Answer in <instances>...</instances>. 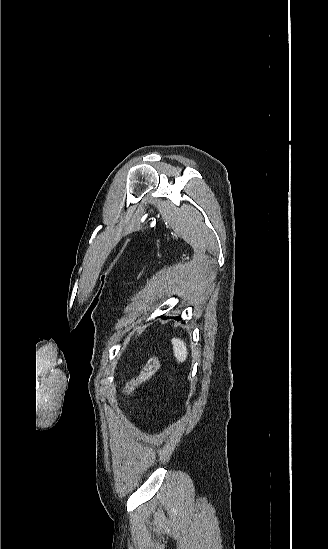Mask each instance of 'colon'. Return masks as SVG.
I'll use <instances>...</instances> for the list:
<instances>
[{
	"label": "colon",
	"instance_id": "colon-1",
	"mask_svg": "<svg viewBox=\"0 0 328 549\" xmlns=\"http://www.w3.org/2000/svg\"><path fill=\"white\" fill-rule=\"evenodd\" d=\"M160 366V358L158 354H152L146 364L143 366L139 374L135 377H133L128 383L126 384L124 390H123V397L129 396L134 390L141 384L145 383L147 380H149L159 369Z\"/></svg>",
	"mask_w": 328,
	"mask_h": 549
}]
</instances>
